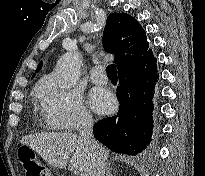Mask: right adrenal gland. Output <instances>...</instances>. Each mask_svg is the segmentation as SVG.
Wrapping results in <instances>:
<instances>
[{
  "instance_id": "right-adrenal-gland-1",
  "label": "right adrenal gland",
  "mask_w": 205,
  "mask_h": 176,
  "mask_svg": "<svg viewBox=\"0 0 205 176\" xmlns=\"http://www.w3.org/2000/svg\"><path fill=\"white\" fill-rule=\"evenodd\" d=\"M106 176H113L111 169H110V163L106 167Z\"/></svg>"
}]
</instances>
